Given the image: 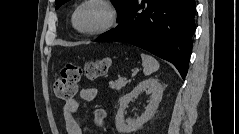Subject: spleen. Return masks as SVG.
Instances as JSON below:
<instances>
[{
    "label": "spleen",
    "mask_w": 239,
    "mask_h": 134,
    "mask_svg": "<svg viewBox=\"0 0 239 134\" xmlns=\"http://www.w3.org/2000/svg\"><path fill=\"white\" fill-rule=\"evenodd\" d=\"M141 59L145 76H150L159 69V63L153 56L141 53Z\"/></svg>",
    "instance_id": "obj_1"
}]
</instances>
